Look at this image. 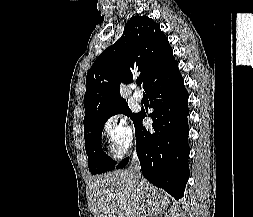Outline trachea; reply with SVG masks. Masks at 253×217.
<instances>
[{
  "mask_svg": "<svg viewBox=\"0 0 253 217\" xmlns=\"http://www.w3.org/2000/svg\"><path fill=\"white\" fill-rule=\"evenodd\" d=\"M137 83H138V85H141V81L140 80H137Z\"/></svg>",
  "mask_w": 253,
  "mask_h": 217,
  "instance_id": "obj_1",
  "label": "trachea"
}]
</instances>
